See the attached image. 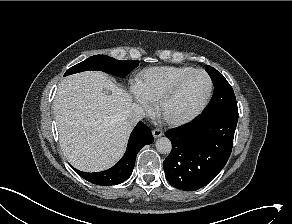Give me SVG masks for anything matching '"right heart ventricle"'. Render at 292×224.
<instances>
[{"instance_id":"e07e8e85","label":"right heart ventricle","mask_w":292,"mask_h":224,"mask_svg":"<svg viewBox=\"0 0 292 224\" xmlns=\"http://www.w3.org/2000/svg\"><path fill=\"white\" fill-rule=\"evenodd\" d=\"M195 70L190 66H163L142 71L136 89L149 101L156 102L178 79Z\"/></svg>"}]
</instances>
